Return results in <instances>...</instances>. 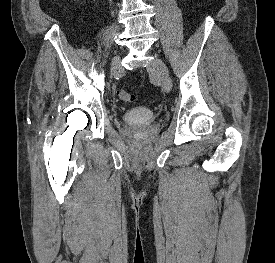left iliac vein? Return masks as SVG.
Wrapping results in <instances>:
<instances>
[{
	"label": "left iliac vein",
	"instance_id": "left-iliac-vein-1",
	"mask_svg": "<svg viewBox=\"0 0 275 263\" xmlns=\"http://www.w3.org/2000/svg\"><path fill=\"white\" fill-rule=\"evenodd\" d=\"M147 70L156 76L160 86L165 92H169L171 90L172 82L169 75V70L161 59L154 57L151 61H149Z\"/></svg>",
	"mask_w": 275,
	"mask_h": 263
}]
</instances>
